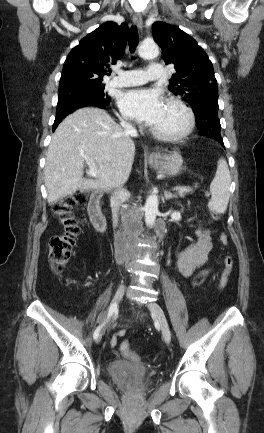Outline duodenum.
<instances>
[{
    "mask_svg": "<svg viewBox=\"0 0 264 433\" xmlns=\"http://www.w3.org/2000/svg\"><path fill=\"white\" fill-rule=\"evenodd\" d=\"M102 194L100 192L93 193L87 204V213L94 228L104 233L107 230V220L100 210V200Z\"/></svg>",
    "mask_w": 264,
    "mask_h": 433,
    "instance_id": "410a0bca",
    "label": "duodenum"
}]
</instances>
